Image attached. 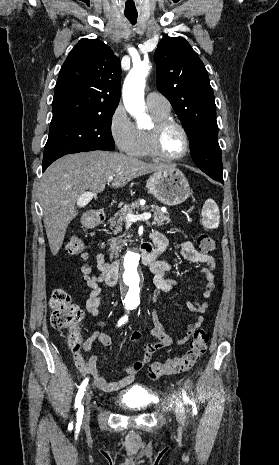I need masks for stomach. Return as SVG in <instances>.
<instances>
[{
    "label": "stomach",
    "instance_id": "0dacf381",
    "mask_svg": "<svg viewBox=\"0 0 279 465\" xmlns=\"http://www.w3.org/2000/svg\"><path fill=\"white\" fill-rule=\"evenodd\" d=\"M146 188L157 200L167 206L183 203L190 195V186L183 173L175 167L156 171L147 181ZM93 220H86L87 226Z\"/></svg>",
    "mask_w": 279,
    "mask_h": 465
}]
</instances>
